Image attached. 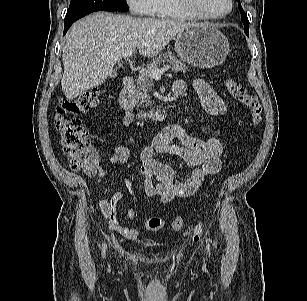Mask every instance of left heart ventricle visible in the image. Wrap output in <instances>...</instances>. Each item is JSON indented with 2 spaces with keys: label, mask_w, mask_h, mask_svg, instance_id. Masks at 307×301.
<instances>
[{
  "label": "left heart ventricle",
  "mask_w": 307,
  "mask_h": 301,
  "mask_svg": "<svg viewBox=\"0 0 307 301\" xmlns=\"http://www.w3.org/2000/svg\"><path fill=\"white\" fill-rule=\"evenodd\" d=\"M196 5L209 13L220 14L228 10L229 0H195Z\"/></svg>",
  "instance_id": "left-heart-ventricle-1"
}]
</instances>
